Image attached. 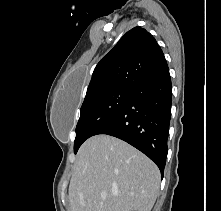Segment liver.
<instances>
[{
  "label": "liver",
  "instance_id": "6515ba94",
  "mask_svg": "<svg viewBox=\"0 0 221 211\" xmlns=\"http://www.w3.org/2000/svg\"><path fill=\"white\" fill-rule=\"evenodd\" d=\"M158 167L128 143L96 135L80 147L69 185L71 211H151Z\"/></svg>",
  "mask_w": 221,
  "mask_h": 211
}]
</instances>
